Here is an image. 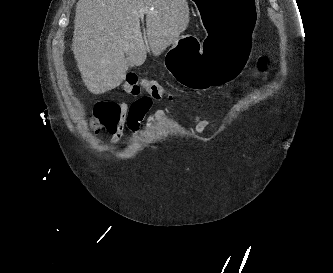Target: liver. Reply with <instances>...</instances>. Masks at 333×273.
Here are the masks:
<instances>
[{"label":"liver","instance_id":"1","mask_svg":"<svg viewBox=\"0 0 333 273\" xmlns=\"http://www.w3.org/2000/svg\"><path fill=\"white\" fill-rule=\"evenodd\" d=\"M142 8L146 9V36L151 52L159 56L186 30L187 0L78 1L72 50L91 93L98 95L118 87L126 78L127 59L136 66L145 62Z\"/></svg>","mask_w":333,"mask_h":273}]
</instances>
